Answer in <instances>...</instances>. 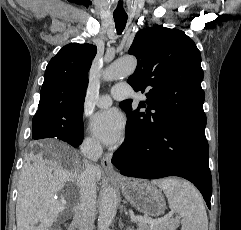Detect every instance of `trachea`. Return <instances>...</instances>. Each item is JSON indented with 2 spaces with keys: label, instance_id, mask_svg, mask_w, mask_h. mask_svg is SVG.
<instances>
[{
  "label": "trachea",
  "instance_id": "obj_1",
  "mask_svg": "<svg viewBox=\"0 0 241 230\" xmlns=\"http://www.w3.org/2000/svg\"><path fill=\"white\" fill-rule=\"evenodd\" d=\"M115 26L118 34H121L126 26L128 15L126 13H114L113 14Z\"/></svg>",
  "mask_w": 241,
  "mask_h": 230
}]
</instances>
